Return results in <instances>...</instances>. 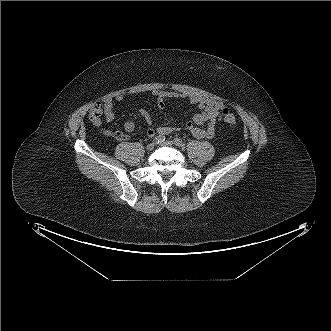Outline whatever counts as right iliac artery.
<instances>
[{"label": "right iliac artery", "instance_id": "1", "mask_svg": "<svg viewBox=\"0 0 331 331\" xmlns=\"http://www.w3.org/2000/svg\"><path fill=\"white\" fill-rule=\"evenodd\" d=\"M165 141V136H163V135H159V136H157L155 139H154V142L156 143V144H160V143H162V142H164Z\"/></svg>", "mask_w": 331, "mask_h": 331}]
</instances>
